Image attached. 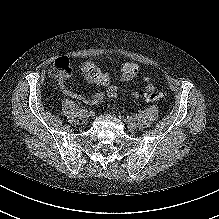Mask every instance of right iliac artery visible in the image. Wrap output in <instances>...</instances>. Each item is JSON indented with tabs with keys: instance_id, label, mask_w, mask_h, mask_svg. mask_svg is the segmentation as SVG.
<instances>
[{
	"instance_id": "right-iliac-artery-1",
	"label": "right iliac artery",
	"mask_w": 219,
	"mask_h": 219,
	"mask_svg": "<svg viewBox=\"0 0 219 219\" xmlns=\"http://www.w3.org/2000/svg\"><path fill=\"white\" fill-rule=\"evenodd\" d=\"M88 112V110L86 109V108H83L82 110H81V113H87Z\"/></svg>"
}]
</instances>
